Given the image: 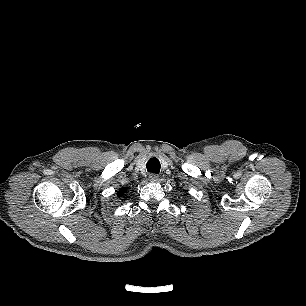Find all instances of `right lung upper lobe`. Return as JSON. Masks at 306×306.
Segmentation results:
<instances>
[{
	"label": "right lung upper lobe",
	"instance_id": "cb5924a9",
	"mask_svg": "<svg viewBox=\"0 0 306 306\" xmlns=\"http://www.w3.org/2000/svg\"><path fill=\"white\" fill-rule=\"evenodd\" d=\"M126 192V188H123V189H121L119 192H118V196L119 197H122L123 195H124V193Z\"/></svg>",
	"mask_w": 306,
	"mask_h": 306
}]
</instances>
